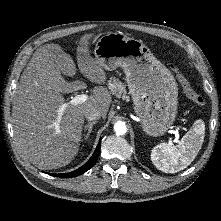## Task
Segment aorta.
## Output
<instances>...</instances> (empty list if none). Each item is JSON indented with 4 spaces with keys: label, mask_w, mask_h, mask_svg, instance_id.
<instances>
[{
    "label": "aorta",
    "mask_w": 221,
    "mask_h": 221,
    "mask_svg": "<svg viewBox=\"0 0 221 221\" xmlns=\"http://www.w3.org/2000/svg\"><path fill=\"white\" fill-rule=\"evenodd\" d=\"M114 130L117 135H124L127 132L126 124L122 121H118L114 125Z\"/></svg>",
    "instance_id": "obj_1"
}]
</instances>
